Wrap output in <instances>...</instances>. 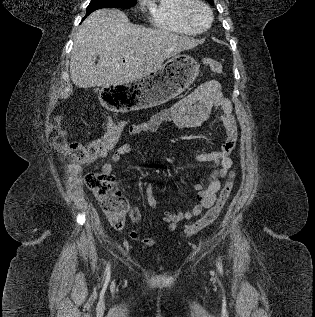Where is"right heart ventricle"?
<instances>
[{
    "instance_id": "right-heart-ventricle-1",
    "label": "right heart ventricle",
    "mask_w": 315,
    "mask_h": 317,
    "mask_svg": "<svg viewBox=\"0 0 315 317\" xmlns=\"http://www.w3.org/2000/svg\"><path fill=\"white\" fill-rule=\"evenodd\" d=\"M191 0H148L149 19L153 26L161 30L196 35L185 20L184 11Z\"/></svg>"
}]
</instances>
